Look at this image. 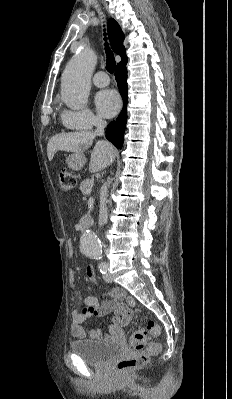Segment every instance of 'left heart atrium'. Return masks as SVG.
<instances>
[{"instance_id": "left-heart-atrium-1", "label": "left heart atrium", "mask_w": 232, "mask_h": 399, "mask_svg": "<svg viewBox=\"0 0 232 399\" xmlns=\"http://www.w3.org/2000/svg\"><path fill=\"white\" fill-rule=\"evenodd\" d=\"M96 106L99 114L105 118H112L120 110V101L112 90H105L97 94Z\"/></svg>"}]
</instances>
